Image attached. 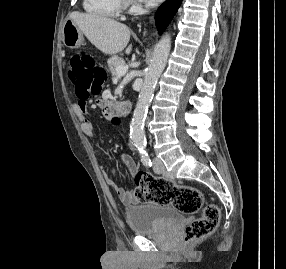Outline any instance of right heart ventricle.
Wrapping results in <instances>:
<instances>
[{
  "label": "right heart ventricle",
  "mask_w": 286,
  "mask_h": 269,
  "mask_svg": "<svg viewBox=\"0 0 286 269\" xmlns=\"http://www.w3.org/2000/svg\"><path fill=\"white\" fill-rule=\"evenodd\" d=\"M82 4L87 14L102 19L117 18L121 11L118 0H83Z\"/></svg>",
  "instance_id": "1"
}]
</instances>
